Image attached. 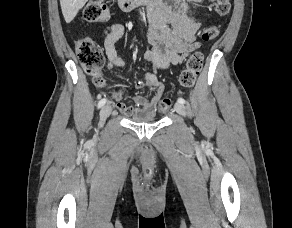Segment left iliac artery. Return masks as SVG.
Masks as SVG:
<instances>
[{
    "label": "left iliac artery",
    "mask_w": 292,
    "mask_h": 228,
    "mask_svg": "<svg viewBox=\"0 0 292 228\" xmlns=\"http://www.w3.org/2000/svg\"><path fill=\"white\" fill-rule=\"evenodd\" d=\"M177 102L184 104L186 101L184 98L180 97L177 99Z\"/></svg>",
    "instance_id": "1"
}]
</instances>
